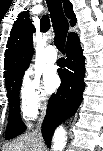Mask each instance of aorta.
Here are the masks:
<instances>
[{"mask_svg":"<svg viewBox=\"0 0 103 151\" xmlns=\"http://www.w3.org/2000/svg\"><path fill=\"white\" fill-rule=\"evenodd\" d=\"M65 145H66L65 130L63 127H59L54 134L52 150L63 151Z\"/></svg>","mask_w":103,"mask_h":151,"instance_id":"1","label":"aorta"}]
</instances>
